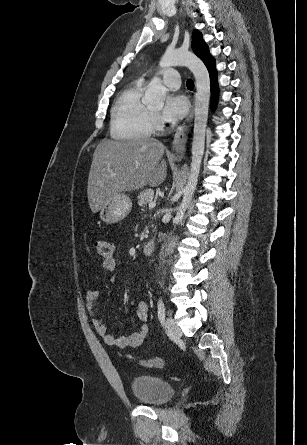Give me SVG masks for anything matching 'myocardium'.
<instances>
[{"label": "myocardium", "mask_w": 307, "mask_h": 445, "mask_svg": "<svg viewBox=\"0 0 307 445\" xmlns=\"http://www.w3.org/2000/svg\"><path fill=\"white\" fill-rule=\"evenodd\" d=\"M153 115L156 116V117H158V113H156V112H154V111H153Z\"/></svg>", "instance_id": "f54148a6"}]
</instances>
